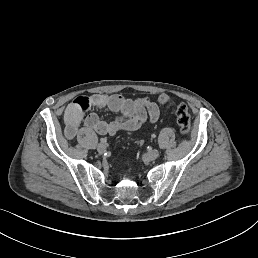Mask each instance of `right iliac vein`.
Listing matches in <instances>:
<instances>
[{
    "label": "right iliac vein",
    "instance_id": "right-iliac-vein-1",
    "mask_svg": "<svg viewBox=\"0 0 258 258\" xmlns=\"http://www.w3.org/2000/svg\"><path fill=\"white\" fill-rule=\"evenodd\" d=\"M95 150L97 153L102 154L107 151V146L105 144L99 143L96 145Z\"/></svg>",
    "mask_w": 258,
    "mask_h": 258
}]
</instances>
